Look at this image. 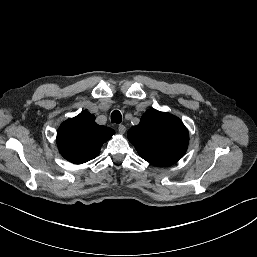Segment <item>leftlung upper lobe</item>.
<instances>
[{
    "mask_svg": "<svg viewBox=\"0 0 257 257\" xmlns=\"http://www.w3.org/2000/svg\"><path fill=\"white\" fill-rule=\"evenodd\" d=\"M127 136L143 159L158 166L177 162L189 141L188 130L179 118L155 109L145 112Z\"/></svg>",
    "mask_w": 257,
    "mask_h": 257,
    "instance_id": "1",
    "label": "left lung upper lobe"
}]
</instances>
